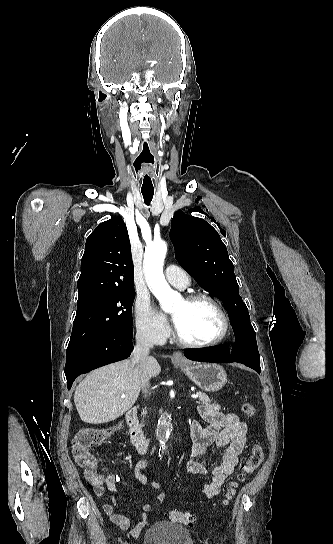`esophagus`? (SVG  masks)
Wrapping results in <instances>:
<instances>
[{
	"label": "esophagus",
	"mask_w": 333,
	"mask_h": 544,
	"mask_svg": "<svg viewBox=\"0 0 333 544\" xmlns=\"http://www.w3.org/2000/svg\"><path fill=\"white\" fill-rule=\"evenodd\" d=\"M173 359L176 360V361H180V362H184L185 361V358L183 357V355L176 351V352H173V355H172Z\"/></svg>",
	"instance_id": "esophagus-1"
}]
</instances>
